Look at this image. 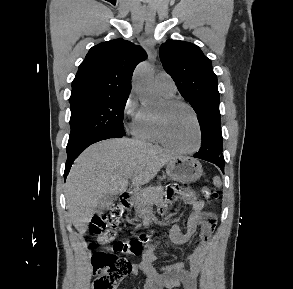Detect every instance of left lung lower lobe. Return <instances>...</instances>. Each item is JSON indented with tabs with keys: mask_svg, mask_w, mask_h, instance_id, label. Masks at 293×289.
Segmentation results:
<instances>
[{
	"mask_svg": "<svg viewBox=\"0 0 293 289\" xmlns=\"http://www.w3.org/2000/svg\"><path fill=\"white\" fill-rule=\"evenodd\" d=\"M220 126L211 124L201 129L202 144L199 152L195 153L194 157L216 164L224 173L225 161L221 153L223 140ZM218 153L220 155L215 159L214 156Z\"/></svg>",
	"mask_w": 293,
	"mask_h": 289,
	"instance_id": "1",
	"label": "left lung lower lobe"
}]
</instances>
